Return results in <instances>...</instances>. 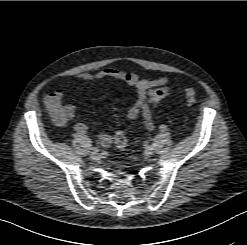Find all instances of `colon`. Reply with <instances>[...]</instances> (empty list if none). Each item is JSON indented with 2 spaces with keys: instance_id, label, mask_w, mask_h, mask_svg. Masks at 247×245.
I'll use <instances>...</instances> for the list:
<instances>
[{
  "instance_id": "obj_1",
  "label": "colon",
  "mask_w": 247,
  "mask_h": 245,
  "mask_svg": "<svg viewBox=\"0 0 247 245\" xmlns=\"http://www.w3.org/2000/svg\"><path fill=\"white\" fill-rule=\"evenodd\" d=\"M167 95V90L165 88H155L149 92L150 100L154 103L160 102L162 99H164ZM185 96L187 99V102L189 104L195 103L197 99V92L192 89L188 88L185 90ZM62 111L57 109L54 111V115L61 117L62 116ZM114 143L115 146L119 150H125L127 146V139L125 134L122 131H117L114 135Z\"/></svg>"
}]
</instances>
